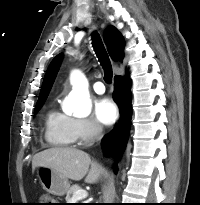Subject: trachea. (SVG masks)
Listing matches in <instances>:
<instances>
[{"instance_id": "3493384b", "label": "trachea", "mask_w": 200, "mask_h": 205, "mask_svg": "<svg viewBox=\"0 0 200 205\" xmlns=\"http://www.w3.org/2000/svg\"><path fill=\"white\" fill-rule=\"evenodd\" d=\"M92 40L94 51L99 59L100 64L104 68V80L106 83H111L113 76L112 66L99 34L94 32Z\"/></svg>"}]
</instances>
